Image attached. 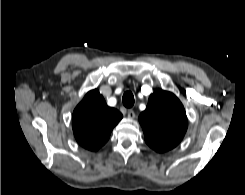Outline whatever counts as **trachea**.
<instances>
[{
    "label": "trachea",
    "mask_w": 245,
    "mask_h": 195,
    "mask_svg": "<svg viewBox=\"0 0 245 195\" xmlns=\"http://www.w3.org/2000/svg\"><path fill=\"white\" fill-rule=\"evenodd\" d=\"M122 101H123V105L126 108H131L135 102L132 92H130V91L125 92L123 97H122Z\"/></svg>",
    "instance_id": "obj_1"
}]
</instances>
